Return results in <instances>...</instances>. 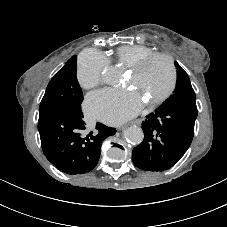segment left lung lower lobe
<instances>
[{
	"mask_svg": "<svg viewBox=\"0 0 227 227\" xmlns=\"http://www.w3.org/2000/svg\"><path fill=\"white\" fill-rule=\"evenodd\" d=\"M197 107L174 103L160 106L142 123L143 142L133 149L132 160L145 171H163L175 165L189 148Z\"/></svg>",
	"mask_w": 227,
	"mask_h": 227,
	"instance_id": "left-lung-lower-lobe-1",
	"label": "left lung lower lobe"
}]
</instances>
